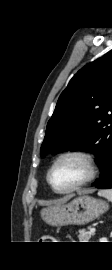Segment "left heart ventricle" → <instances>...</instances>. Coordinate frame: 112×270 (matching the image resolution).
<instances>
[{"label":"left heart ventricle","instance_id":"obj_1","mask_svg":"<svg viewBox=\"0 0 112 270\" xmlns=\"http://www.w3.org/2000/svg\"><path fill=\"white\" fill-rule=\"evenodd\" d=\"M87 168L78 158H66L53 170L51 181L59 189H67L85 178Z\"/></svg>","mask_w":112,"mask_h":270}]
</instances>
